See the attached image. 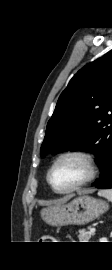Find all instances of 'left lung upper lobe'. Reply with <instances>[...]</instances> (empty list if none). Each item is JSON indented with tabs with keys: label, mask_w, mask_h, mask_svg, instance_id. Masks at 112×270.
<instances>
[{
	"label": "left lung upper lobe",
	"mask_w": 112,
	"mask_h": 270,
	"mask_svg": "<svg viewBox=\"0 0 112 270\" xmlns=\"http://www.w3.org/2000/svg\"><path fill=\"white\" fill-rule=\"evenodd\" d=\"M66 150L94 151L100 169L112 152V50L80 69L58 99L41 157Z\"/></svg>",
	"instance_id": "5c2ea615"
}]
</instances>
